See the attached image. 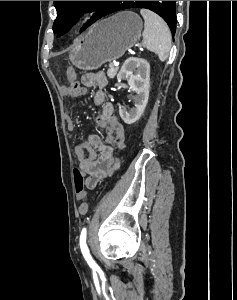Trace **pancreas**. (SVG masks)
Wrapping results in <instances>:
<instances>
[{
  "mask_svg": "<svg viewBox=\"0 0 237 300\" xmlns=\"http://www.w3.org/2000/svg\"><path fill=\"white\" fill-rule=\"evenodd\" d=\"M118 69H119V67H114L112 69L111 68L108 69V71H107V77H109V79H114L115 75H117Z\"/></svg>",
  "mask_w": 237,
  "mask_h": 300,
  "instance_id": "cf45deb5",
  "label": "pancreas"
}]
</instances>
